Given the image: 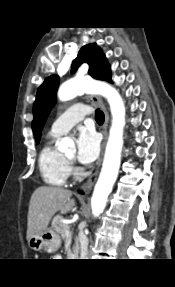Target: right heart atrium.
I'll return each mask as SVG.
<instances>
[{"label":"right heart atrium","mask_w":175,"mask_h":287,"mask_svg":"<svg viewBox=\"0 0 175 287\" xmlns=\"http://www.w3.org/2000/svg\"><path fill=\"white\" fill-rule=\"evenodd\" d=\"M69 170H70L71 172L74 171V166H73L71 163H69Z\"/></svg>","instance_id":"d8ad5b80"}]
</instances>
